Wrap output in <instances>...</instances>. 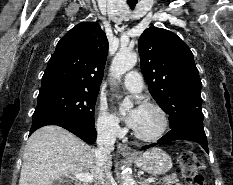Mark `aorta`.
Returning <instances> with one entry per match:
<instances>
[{
  "mask_svg": "<svg viewBox=\"0 0 233 185\" xmlns=\"http://www.w3.org/2000/svg\"><path fill=\"white\" fill-rule=\"evenodd\" d=\"M137 63V54L130 51L120 50L115 55L110 73L114 78H121L123 74L132 69ZM133 107V103L125 99L120 103L119 111L125 115ZM122 185H136L130 172H122L121 174Z\"/></svg>",
  "mask_w": 233,
  "mask_h": 185,
  "instance_id": "aorta-1",
  "label": "aorta"
}]
</instances>
